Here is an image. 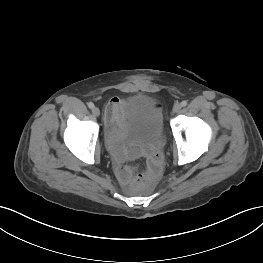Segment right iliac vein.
I'll return each mask as SVG.
<instances>
[{"label":"right iliac vein","instance_id":"obj_1","mask_svg":"<svg viewBox=\"0 0 263 263\" xmlns=\"http://www.w3.org/2000/svg\"><path fill=\"white\" fill-rule=\"evenodd\" d=\"M92 113H93L94 116L98 117V116L100 115V110H99V108H98V107H94V108L92 109Z\"/></svg>","mask_w":263,"mask_h":263}]
</instances>
